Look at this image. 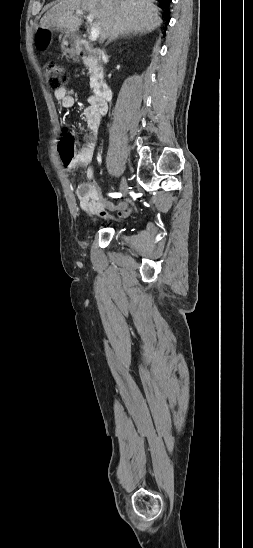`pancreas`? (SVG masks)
Listing matches in <instances>:
<instances>
[{"label": "pancreas", "instance_id": "1", "mask_svg": "<svg viewBox=\"0 0 253 548\" xmlns=\"http://www.w3.org/2000/svg\"><path fill=\"white\" fill-rule=\"evenodd\" d=\"M84 65L90 74V87L91 89H96L99 85L98 80H101L103 77L102 66L95 59L85 60Z\"/></svg>", "mask_w": 253, "mask_h": 548}]
</instances>
